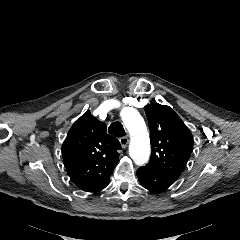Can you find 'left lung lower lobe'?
I'll list each match as a JSON object with an SVG mask.
<instances>
[{
  "label": "left lung lower lobe",
  "mask_w": 240,
  "mask_h": 240,
  "mask_svg": "<svg viewBox=\"0 0 240 240\" xmlns=\"http://www.w3.org/2000/svg\"><path fill=\"white\" fill-rule=\"evenodd\" d=\"M141 185L153 192H161L171 187L175 181L156 169L146 165L137 170Z\"/></svg>",
  "instance_id": "0a47b994"
}]
</instances>
